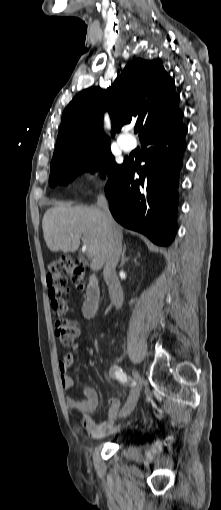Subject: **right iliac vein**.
<instances>
[{
  "instance_id": "right-iliac-vein-1",
  "label": "right iliac vein",
  "mask_w": 221,
  "mask_h": 510,
  "mask_svg": "<svg viewBox=\"0 0 221 510\" xmlns=\"http://www.w3.org/2000/svg\"><path fill=\"white\" fill-rule=\"evenodd\" d=\"M132 374H133L135 382L137 383V386L132 390L128 401L126 402L125 406L121 410V412H120L121 417H126V416L130 415L132 413V411L134 410L136 403L138 401V398H139L140 387L143 383V380H142L139 372L136 369L132 370Z\"/></svg>"
}]
</instances>
